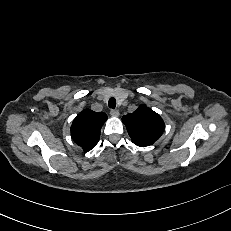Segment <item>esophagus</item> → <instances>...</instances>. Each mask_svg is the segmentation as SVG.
Segmentation results:
<instances>
[{
    "label": "esophagus",
    "instance_id": "esophagus-1",
    "mask_svg": "<svg viewBox=\"0 0 231 231\" xmlns=\"http://www.w3.org/2000/svg\"><path fill=\"white\" fill-rule=\"evenodd\" d=\"M110 115L113 116V117H118L119 116V111L116 110V109H112L110 111Z\"/></svg>",
    "mask_w": 231,
    "mask_h": 231
}]
</instances>
